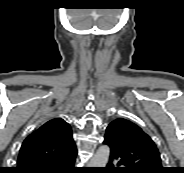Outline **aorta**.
Instances as JSON below:
<instances>
[{"label":"aorta","instance_id":"762f6f07","mask_svg":"<svg viewBox=\"0 0 184 173\" xmlns=\"http://www.w3.org/2000/svg\"><path fill=\"white\" fill-rule=\"evenodd\" d=\"M110 155V148L106 145L99 147L94 156L91 158L90 167H106Z\"/></svg>","mask_w":184,"mask_h":173}]
</instances>
